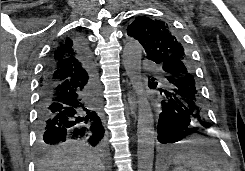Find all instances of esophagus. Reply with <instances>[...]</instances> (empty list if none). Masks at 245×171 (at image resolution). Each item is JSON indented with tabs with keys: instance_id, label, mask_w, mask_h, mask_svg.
Segmentation results:
<instances>
[{
	"instance_id": "esophagus-1",
	"label": "esophagus",
	"mask_w": 245,
	"mask_h": 171,
	"mask_svg": "<svg viewBox=\"0 0 245 171\" xmlns=\"http://www.w3.org/2000/svg\"><path fill=\"white\" fill-rule=\"evenodd\" d=\"M126 104L132 115V117L136 118L137 115V101L132 91H128L126 94Z\"/></svg>"
}]
</instances>
